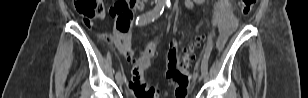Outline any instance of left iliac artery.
Returning a JSON list of instances; mask_svg holds the SVG:
<instances>
[{
	"instance_id": "44dca946",
	"label": "left iliac artery",
	"mask_w": 308,
	"mask_h": 98,
	"mask_svg": "<svg viewBox=\"0 0 308 98\" xmlns=\"http://www.w3.org/2000/svg\"><path fill=\"white\" fill-rule=\"evenodd\" d=\"M167 6L170 7V4H167ZM203 28H204V27H203ZM207 38L211 40L212 35H211V34H208V35H207ZM209 43H212V42H209ZM209 46H210V45H209ZM208 48H210V47H208ZM207 51H209V50H207ZM208 60H209V54H208V53H205V54H204V60L202 61V66H201V69H202V72H203V73H207V63H206V61H208Z\"/></svg>"
}]
</instances>
